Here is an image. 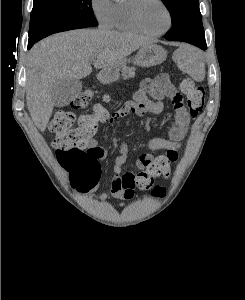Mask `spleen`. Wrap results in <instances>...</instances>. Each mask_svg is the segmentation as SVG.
I'll return each instance as SVG.
<instances>
[{"label":"spleen","mask_w":245,"mask_h":300,"mask_svg":"<svg viewBox=\"0 0 245 300\" xmlns=\"http://www.w3.org/2000/svg\"><path fill=\"white\" fill-rule=\"evenodd\" d=\"M184 58L180 64L181 69L195 81L205 78V64L199 51L189 48L184 51Z\"/></svg>","instance_id":"obj_1"}]
</instances>
